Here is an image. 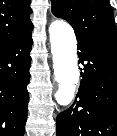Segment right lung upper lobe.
Returning <instances> with one entry per match:
<instances>
[{"label": "right lung upper lobe", "mask_w": 117, "mask_h": 136, "mask_svg": "<svg viewBox=\"0 0 117 136\" xmlns=\"http://www.w3.org/2000/svg\"><path fill=\"white\" fill-rule=\"evenodd\" d=\"M30 0H0V44L33 30Z\"/></svg>", "instance_id": "cb5924a9"}]
</instances>
